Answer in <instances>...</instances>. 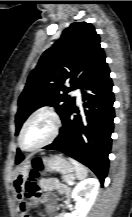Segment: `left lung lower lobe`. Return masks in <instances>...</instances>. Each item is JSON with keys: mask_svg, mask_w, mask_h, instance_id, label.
Here are the masks:
<instances>
[{"mask_svg": "<svg viewBox=\"0 0 132 217\" xmlns=\"http://www.w3.org/2000/svg\"><path fill=\"white\" fill-rule=\"evenodd\" d=\"M106 62L82 87L84 109L75 105L62 118L63 126L55 141L44 149L58 150L89 167L103 185L106 178L113 132L114 94ZM77 113L72 116V113ZM19 154V153H17ZM24 157H17L20 163Z\"/></svg>", "mask_w": 132, "mask_h": 217, "instance_id": "left-lung-lower-lobe-1", "label": "left lung lower lobe"}]
</instances>
